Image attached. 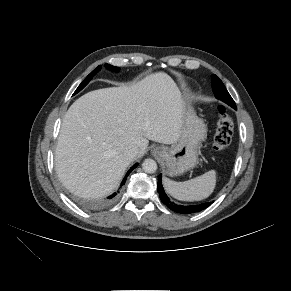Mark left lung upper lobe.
<instances>
[{
	"instance_id": "1",
	"label": "left lung upper lobe",
	"mask_w": 291,
	"mask_h": 291,
	"mask_svg": "<svg viewBox=\"0 0 291 291\" xmlns=\"http://www.w3.org/2000/svg\"><path fill=\"white\" fill-rule=\"evenodd\" d=\"M212 88L215 96L236 109V104L230 94L228 93L227 89L225 88L222 81L216 76L212 75Z\"/></svg>"
}]
</instances>
